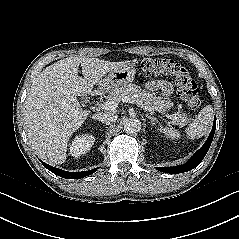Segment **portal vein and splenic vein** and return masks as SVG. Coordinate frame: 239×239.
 I'll list each match as a JSON object with an SVG mask.
<instances>
[{
  "label": "portal vein and splenic vein",
  "instance_id": "obj_1",
  "mask_svg": "<svg viewBox=\"0 0 239 239\" xmlns=\"http://www.w3.org/2000/svg\"><path fill=\"white\" fill-rule=\"evenodd\" d=\"M123 102L126 103H134V100L130 97H125L123 100ZM101 109L103 110H107V111H114L116 110V108L118 107V103H116L115 101H111V100H107L106 102H104L103 104L100 105ZM141 108H143L146 111H154L152 108L147 107V106H140ZM168 118L172 119L173 121L177 119V115H167Z\"/></svg>",
  "mask_w": 239,
  "mask_h": 239
}]
</instances>
